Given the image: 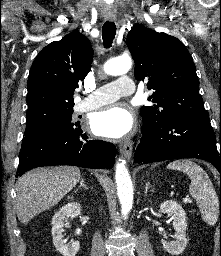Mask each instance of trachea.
I'll use <instances>...</instances> for the list:
<instances>
[{"mask_svg":"<svg viewBox=\"0 0 221 256\" xmlns=\"http://www.w3.org/2000/svg\"><path fill=\"white\" fill-rule=\"evenodd\" d=\"M116 35V26L113 22L106 21L102 28V38L105 48H109Z\"/></svg>","mask_w":221,"mask_h":256,"instance_id":"3493384b","label":"trachea"}]
</instances>
